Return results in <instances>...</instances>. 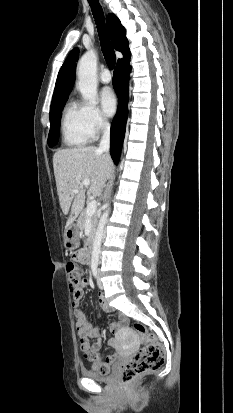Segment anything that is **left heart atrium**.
<instances>
[{"mask_svg": "<svg viewBox=\"0 0 233 413\" xmlns=\"http://www.w3.org/2000/svg\"><path fill=\"white\" fill-rule=\"evenodd\" d=\"M101 105L107 116H112L117 109V98L111 88H104L100 95Z\"/></svg>", "mask_w": 233, "mask_h": 413, "instance_id": "left-heart-atrium-1", "label": "left heart atrium"}]
</instances>
